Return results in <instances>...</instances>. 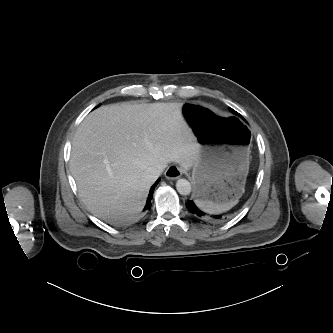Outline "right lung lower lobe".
I'll return each instance as SVG.
<instances>
[{
    "label": "right lung lower lobe",
    "mask_w": 333,
    "mask_h": 333,
    "mask_svg": "<svg viewBox=\"0 0 333 333\" xmlns=\"http://www.w3.org/2000/svg\"><path fill=\"white\" fill-rule=\"evenodd\" d=\"M160 181V178L155 182V184L151 187L150 189V193L148 195V199L145 205L144 210H149L151 208V199H152V195H153V191L155 189V186L158 184V182Z\"/></svg>",
    "instance_id": "right-lung-lower-lobe-1"
}]
</instances>
